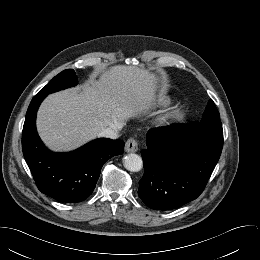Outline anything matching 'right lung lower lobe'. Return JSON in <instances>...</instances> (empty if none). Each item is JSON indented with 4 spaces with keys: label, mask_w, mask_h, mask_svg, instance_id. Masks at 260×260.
Here are the masks:
<instances>
[{
    "label": "right lung lower lobe",
    "mask_w": 260,
    "mask_h": 260,
    "mask_svg": "<svg viewBox=\"0 0 260 260\" xmlns=\"http://www.w3.org/2000/svg\"><path fill=\"white\" fill-rule=\"evenodd\" d=\"M47 95L37 94L26 113L22 150L38 189L63 203H77L92 194L103 164L124 152L122 140L96 139L69 153H53L36 131V113Z\"/></svg>",
    "instance_id": "obj_1"
}]
</instances>
